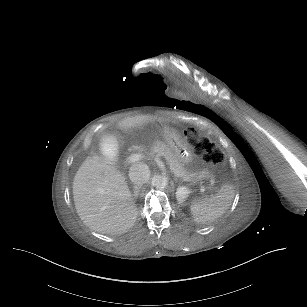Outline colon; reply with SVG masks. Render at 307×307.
I'll return each instance as SVG.
<instances>
[{"label":"colon","mask_w":307,"mask_h":307,"mask_svg":"<svg viewBox=\"0 0 307 307\" xmlns=\"http://www.w3.org/2000/svg\"><path fill=\"white\" fill-rule=\"evenodd\" d=\"M185 138L191 143L196 144V147L202 150L204 162L208 166L220 167L225 163L222 152L214 147L209 141L202 140L200 143H197V133L193 130L186 132Z\"/></svg>","instance_id":"5ec220e1"}]
</instances>
